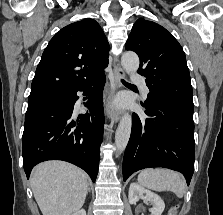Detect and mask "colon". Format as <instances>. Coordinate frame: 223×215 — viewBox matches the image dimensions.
Segmentation results:
<instances>
[{
  "mask_svg": "<svg viewBox=\"0 0 223 215\" xmlns=\"http://www.w3.org/2000/svg\"><path fill=\"white\" fill-rule=\"evenodd\" d=\"M168 215H177V207L172 208V209L169 211Z\"/></svg>",
  "mask_w": 223,
  "mask_h": 215,
  "instance_id": "obj_1",
  "label": "colon"
}]
</instances>
